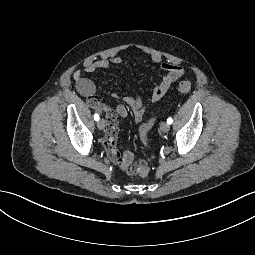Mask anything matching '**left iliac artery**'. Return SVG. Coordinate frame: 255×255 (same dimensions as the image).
<instances>
[{
    "mask_svg": "<svg viewBox=\"0 0 255 255\" xmlns=\"http://www.w3.org/2000/svg\"><path fill=\"white\" fill-rule=\"evenodd\" d=\"M172 122H173V120H172L171 117L167 119V123H168V124H172Z\"/></svg>",
    "mask_w": 255,
    "mask_h": 255,
    "instance_id": "obj_1",
    "label": "left iliac artery"
}]
</instances>
